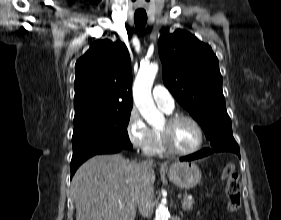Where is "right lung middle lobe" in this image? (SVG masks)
<instances>
[{
  "mask_svg": "<svg viewBox=\"0 0 281 220\" xmlns=\"http://www.w3.org/2000/svg\"><path fill=\"white\" fill-rule=\"evenodd\" d=\"M131 110L74 118L73 154L86 149L132 147L127 133Z\"/></svg>",
  "mask_w": 281,
  "mask_h": 220,
  "instance_id": "dd1d6c3e",
  "label": "right lung middle lobe"
}]
</instances>
